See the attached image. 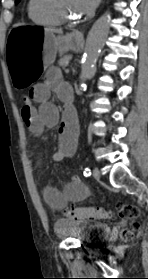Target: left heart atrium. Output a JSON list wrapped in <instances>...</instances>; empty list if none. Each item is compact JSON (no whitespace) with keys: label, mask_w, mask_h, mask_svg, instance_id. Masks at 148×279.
<instances>
[{"label":"left heart atrium","mask_w":148,"mask_h":279,"mask_svg":"<svg viewBox=\"0 0 148 279\" xmlns=\"http://www.w3.org/2000/svg\"><path fill=\"white\" fill-rule=\"evenodd\" d=\"M100 0H75V5L80 14L89 15L97 7Z\"/></svg>","instance_id":"left-heart-atrium-1"}]
</instances>
